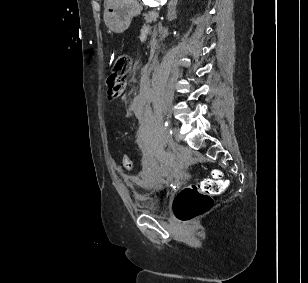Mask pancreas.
<instances>
[{"label": "pancreas", "instance_id": "1", "mask_svg": "<svg viewBox=\"0 0 308 283\" xmlns=\"http://www.w3.org/2000/svg\"><path fill=\"white\" fill-rule=\"evenodd\" d=\"M143 16H144V20L149 24L157 21V17L155 16L153 11L144 13Z\"/></svg>", "mask_w": 308, "mask_h": 283}]
</instances>
